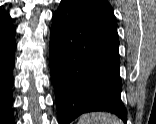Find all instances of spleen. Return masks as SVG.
I'll return each instance as SVG.
<instances>
[{
	"mask_svg": "<svg viewBox=\"0 0 156 124\" xmlns=\"http://www.w3.org/2000/svg\"><path fill=\"white\" fill-rule=\"evenodd\" d=\"M77 124H122V121L110 113L97 112L82 115Z\"/></svg>",
	"mask_w": 156,
	"mask_h": 124,
	"instance_id": "obj_1",
	"label": "spleen"
}]
</instances>
